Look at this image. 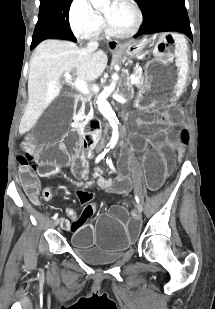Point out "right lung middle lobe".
<instances>
[{
    "label": "right lung middle lobe",
    "mask_w": 215,
    "mask_h": 309,
    "mask_svg": "<svg viewBox=\"0 0 215 309\" xmlns=\"http://www.w3.org/2000/svg\"><path fill=\"white\" fill-rule=\"evenodd\" d=\"M71 2L72 0H40L38 22L32 37V49L47 38L76 42L69 25Z\"/></svg>",
    "instance_id": "right-lung-middle-lobe-1"
}]
</instances>
